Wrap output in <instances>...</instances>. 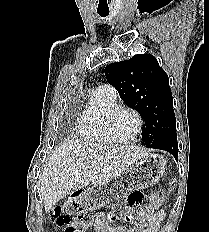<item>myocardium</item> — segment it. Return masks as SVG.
Listing matches in <instances>:
<instances>
[{"instance_id":"f54148a6","label":"myocardium","mask_w":209,"mask_h":232,"mask_svg":"<svg viewBox=\"0 0 209 232\" xmlns=\"http://www.w3.org/2000/svg\"><path fill=\"white\" fill-rule=\"evenodd\" d=\"M123 111H128L133 114V116L135 117L137 121V126H136L134 133L129 138L118 139L113 135L111 125H112L114 118ZM142 126H143V119L141 115L136 109L130 106H115L106 113L105 118H104V132H105L107 139L111 143L126 144V143L132 142L136 138V136L139 134V132L141 131Z\"/></svg>"}]
</instances>
